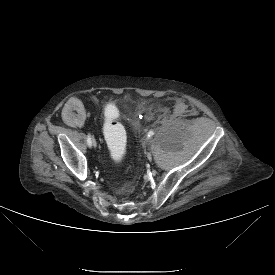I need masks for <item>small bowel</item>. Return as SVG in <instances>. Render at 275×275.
<instances>
[{
  "mask_svg": "<svg viewBox=\"0 0 275 275\" xmlns=\"http://www.w3.org/2000/svg\"><path fill=\"white\" fill-rule=\"evenodd\" d=\"M84 109L83 99L79 96H72L60 108L59 117L68 125L81 127L85 121ZM110 112L115 115L113 111Z\"/></svg>",
  "mask_w": 275,
  "mask_h": 275,
  "instance_id": "small-bowel-1",
  "label": "small bowel"
}]
</instances>
